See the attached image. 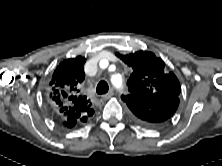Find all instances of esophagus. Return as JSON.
Listing matches in <instances>:
<instances>
[{"label":"esophagus","instance_id":"esophagus-1","mask_svg":"<svg viewBox=\"0 0 222 166\" xmlns=\"http://www.w3.org/2000/svg\"><path fill=\"white\" fill-rule=\"evenodd\" d=\"M113 90H111L110 92H108L107 94H105V95H103L102 96V99L103 100H108V99H110L112 96H113Z\"/></svg>","mask_w":222,"mask_h":166}]
</instances>
